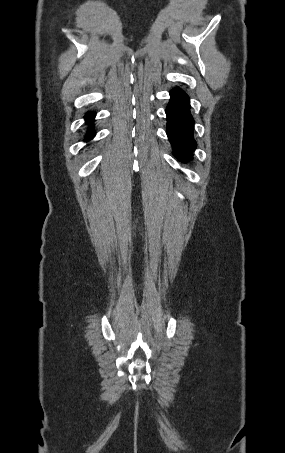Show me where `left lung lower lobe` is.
<instances>
[{
  "label": "left lung lower lobe",
  "mask_w": 285,
  "mask_h": 453,
  "mask_svg": "<svg viewBox=\"0 0 285 453\" xmlns=\"http://www.w3.org/2000/svg\"><path fill=\"white\" fill-rule=\"evenodd\" d=\"M170 102L166 109L167 136L173 146L174 156L183 163L192 160L196 148L193 137L194 119L190 113V100L178 88L170 92Z\"/></svg>",
  "instance_id": "0a47b994"
}]
</instances>
